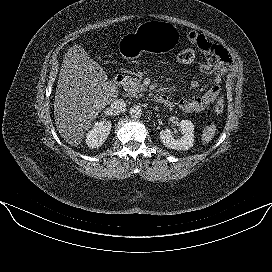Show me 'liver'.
<instances>
[{"instance_id": "1", "label": "liver", "mask_w": 272, "mask_h": 272, "mask_svg": "<svg viewBox=\"0 0 272 272\" xmlns=\"http://www.w3.org/2000/svg\"><path fill=\"white\" fill-rule=\"evenodd\" d=\"M118 89L103 67L84 48L71 47L63 59L54 100V119L60 136L70 146L82 140L98 114L110 104Z\"/></svg>"}]
</instances>
